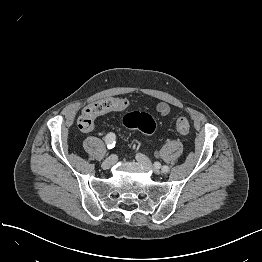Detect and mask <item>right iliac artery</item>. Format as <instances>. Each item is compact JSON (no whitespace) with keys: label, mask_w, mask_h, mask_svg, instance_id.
Listing matches in <instances>:
<instances>
[{"label":"right iliac artery","mask_w":262,"mask_h":262,"mask_svg":"<svg viewBox=\"0 0 262 262\" xmlns=\"http://www.w3.org/2000/svg\"><path fill=\"white\" fill-rule=\"evenodd\" d=\"M105 143L108 147V149H113L115 147L116 143V136L114 133H109L105 137Z\"/></svg>","instance_id":"obj_1"}]
</instances>
